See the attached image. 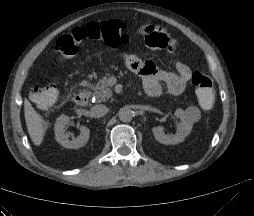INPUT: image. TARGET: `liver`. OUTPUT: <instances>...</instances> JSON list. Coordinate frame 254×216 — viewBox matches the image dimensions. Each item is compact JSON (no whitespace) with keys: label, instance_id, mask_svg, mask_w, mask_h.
Masks as SVG:
<instances>
[{"label":"liver","instance_id":"obj_1","mask_svg":"<svg viewBox=\"0 0 254 216\" xmlns=\"http://www.w3.org/2000/svg\"><path fill=\"white\" fill-rule=\"evenodd\" d=\"M24 115L32 142L34 145L40 146L45 135L44 120L27 99L24 101Z\"/></svg>","mask_w":254,"mask_h":216}]
</instances>
